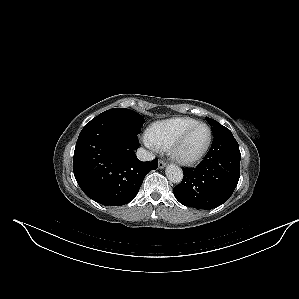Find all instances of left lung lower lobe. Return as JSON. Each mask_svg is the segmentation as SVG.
Here are the masks:
<instances>
[{
    "instance_id": "0a47b994",
    "label": "left lung lower lobe",
    "mask_w": 299,
    "mask_h": 299,
    "mask_svg": "<svg viewBox=\"0 0 299 299\" xmlns=\"http://www.w3.org/2000/svg\"><path fill=\"white\" fill-rule=\"evenodd\" d=\"M211 149L196 168H184L183 181L174 188L185 206L210 210L225 203L240 176L239 145L227 128L213 134Z\"/></svg>"
}]
</instances>
